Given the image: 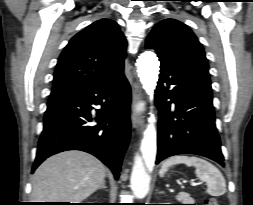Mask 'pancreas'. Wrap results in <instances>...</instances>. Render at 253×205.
I'll return each instance as SVG.
<instances>
[{"instance_id":"obj_1","label":"pancreas","mask_w":253,"mask_h":205,"mask_svg":"<svg viewBox=\"0 0 253 205\" xmlns=\"http://www.w3.org/2000/svg\"><path fill=\"white\" fill-rule=\"evenodd\" d=\"M177 200L182 201L184 204H189L191 203V201H194L190 195L186 192H180L177 196H176Z\"/></svg>"}]
</instances>
